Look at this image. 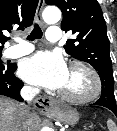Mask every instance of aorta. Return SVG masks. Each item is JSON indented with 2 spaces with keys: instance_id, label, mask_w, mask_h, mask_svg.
<instances>
[{
  "instance_id": "1",
  "label": "aorta",
  "mask_w": 117,
  "mask_h": 131,
  "mask_svg": "<svg viewBox=\"0 0 117 131\" xmlns=\"http://www.w3.org/2000/svg\"><path fill=\"white\" fill-rule=\"evenodd\" d=\"M42 17L47 23H57L61 19V11L57 7H47L42 13ZM42 131H49L48 127Z\"/></svg>"
}]
</instances>
